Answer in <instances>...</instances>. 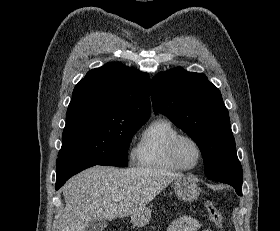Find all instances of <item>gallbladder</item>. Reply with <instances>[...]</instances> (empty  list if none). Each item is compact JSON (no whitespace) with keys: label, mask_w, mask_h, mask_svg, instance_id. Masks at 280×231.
Returning a JSON list of instances; mask_svg holds the SVG:
<instances>
[{"label":"gallbladder","mask_w":280,"mask_h":231,"mask_svg":"<svg viewBox=\"0 0 280 231\" xmlns=\"http://www.w3.org/2000/svg\"><path fill=\"white\" fill-rule=\"evenodd\" d=\"M106 225H107L106 219H102V217H92L85 231H102V229H104Z\"/></svg>","instance_id":"gallbladder-1"}]
</instances>
